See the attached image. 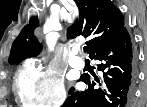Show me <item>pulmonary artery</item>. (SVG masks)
<instances>
[{
	"instance_id": "obj_1",
	"label": "pulmonary artery",
	"mask_w": 147,
	"mask_h": 107,
	"mask_svg": "<svg viewBox=\"0 0 147 107\" xmlns=\"http://www.w3.org/2000/svg\"><path fill=\"white\" fill-rule=\"evenodd\" d=\"M69 64L70 66L74 67V68H78L81 69L84 67V62L83 60L79 57V56H71L69 59Z\"/></svg>"
}]
</instances>
